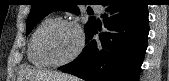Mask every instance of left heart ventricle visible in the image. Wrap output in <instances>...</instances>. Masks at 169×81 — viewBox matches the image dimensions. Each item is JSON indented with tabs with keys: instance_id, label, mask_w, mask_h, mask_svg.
I'll return each instance as SVG.
<instances>
[{
	"instance_id": "1",
	"label": "left heart ventricle",
	"mask_w": 169,
	"mask_h": 81,
	"mask_svg": "<svg viewBox=\"0 0 169 81\" xmlns=\"http://www.w3.org/2000/svg\"><path fill=\"white\" fill-rule=\"evenodd\" d=\"M78 33L70 26H59L53 29L45 40L48 56L54 61L68 58L77 48Z\"/></svg>"
}]
</instances>
